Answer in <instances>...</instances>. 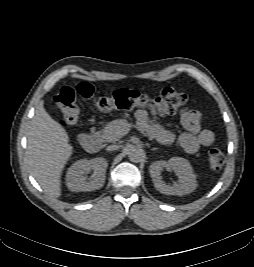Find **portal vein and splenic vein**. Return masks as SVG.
<instances>
[{"label": "portal vein and splenic vein", "mask_w": 254, "mask_h": 267, "mask_svg": "<svg viewBox=\"0 0 254 267\" xmlns=\"http://www.w3.org/2000/svg\"><path fill=\"white\" fill-rule=\"evenodd\" d=\"M129 130H130V129H129L128 127H125V128L123 129V134L125 135L126 133H128Z\"/></svg>", "instance_id": "18ae733b"}]
</instances>
